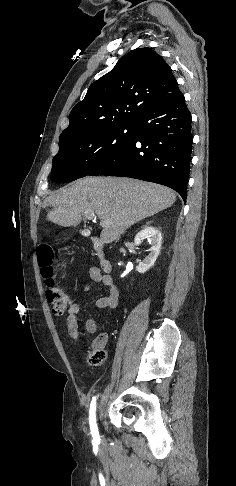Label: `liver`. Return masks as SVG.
<instances>
[{
	"label": "liver",
	"instance_id": "liver-1",
	"mask_svg": "<svg viewBox=\"0 0 236 486\" xmlns=\"http://www.w3.org/2000/svg\"><path fill=\"white\" fill-rule=\"evenodd\" d=\"M176 201L175 193L159 184L129 178L85 177L46 198L52 207L47 220L63 227L77 226L85 211L105 223L101 240L108 244L135 223L162 211Z\"/></svg>",
	"mask_w": 236,
	"mask_h": 486
}]
</instances>
